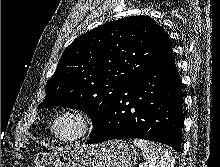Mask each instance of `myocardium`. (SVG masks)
I'll use <instances>...</instances> for the list:
<instances>
[{"label":"myocardium","mask_w":220,"mask_h":167,"mask_svg":"<svg viewBox=\"0 0 220 167\" xmlns=\"http://www.w3.org/2000/svg\"><path fill=\"white\" fill-rule=\"evenodd\" d=\"M66 117L74 118L78 123V127L75 133L71 136L63 137L56 133V125L60 120ZM93 129L94 121L90 114L78 107H69L61 110L55 115L50 124V132L52 136L62 143H74L83 140L92 133Z\"/></svg>","instance_id":"obj_1"}]
</instances>
